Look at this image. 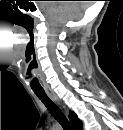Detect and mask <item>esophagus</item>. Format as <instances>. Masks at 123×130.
Listing matches in <instances>:
<instances>
[{"label":"esophagus","mask_w":123,"mask_h":130,"mask_svg":"<svg viewBox=\"0 0 123 130\" xmlns=\"http://www.w3.org/2000/svg\"><path fill=\"white\" fill-rule=\"evenodd\" d=\"M49 96L53 99V100H55V101H57L58 103H59V101H58V99H57V97L56 96H54L53 94H51V93H49Z\"/></svg>","instance_id":"34e87169"}]
</instances>
